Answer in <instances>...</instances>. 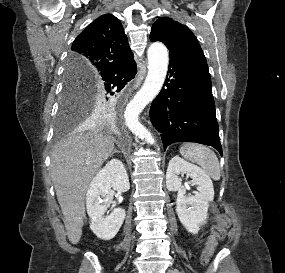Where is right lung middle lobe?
<instances>
[{
  "label": "right lung middle lobe",
  "mask_w": 285,
  "mask_h": 273,
  "mask_svg": "<svg viewBox=\"0 0 285 273\" xmlns=\"http://www.w3.org/2000/svg\"><path fill=\"white\" fill-rule=\"evenodd\" d=\"M116 96H108L95 89L88 83V79L80 78L76 73H71L66 68L58 128L62 130L71 126L89 116L95 108H101L104 105L109 106L110 103L115 105Z\"/></svg>",
  "instance_id": "right-lung-middle-lobe-1"
}]
</instances>
